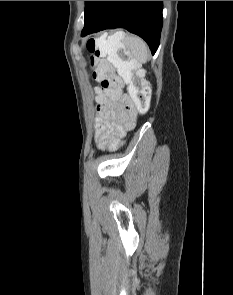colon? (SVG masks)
I'll return each instance as SVG.
<instances>
[{
  "mask_svg": "<svg viewBox=\"0 0 233 295\" xmlns=\"http://www.w3.org/2000/svg\"><path fill=\"white\" fill-rule=\"evenodd\" d=\"M86 49L91 54L93 76L100 84L97 93L119 94L127 84L138 111L145 113L150 105V85L127 49L124 34L116 32L90 39Z\"/></svg>",
  "mask_w": 233,
  "mask_h": 295,
  "instance_id": "colon-1",
  "label": "colon"
}]
</instances>
